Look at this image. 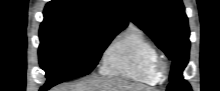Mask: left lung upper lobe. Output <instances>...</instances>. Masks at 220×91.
I'll list each match as a JSON object with an SVG mask.
<instances>
[{"instance_id":"1","label":"left lung upper lobe","mask_w":220,"mask_h":91,"mask_svg":"<svg viewBox=\"0 0 220 91\" xmlns=\"http://www.w3.org/2000/svg\"><path fill=\"white\" fill-rule=\"evenodd\" d=\"M130 20L172 60L168 91H191L182 72L189 59V27L181 0H119Z\"/></svg>"}]
</instances>
